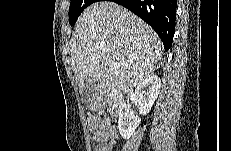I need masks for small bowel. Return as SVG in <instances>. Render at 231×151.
I'll return each instance as SVG.
<instances>
[{"mask_svg": "<svg viewBox=\"0 0 231 151\" xmlns=\"http://www.w3.org/2000/svg\"><path fill=\"white\" fill-rule=\"evenodd\" d=\"M89 129L96 141L95 151H111L116 143V130L108 117L89 118Z\"/></svg>", "mask_w": 231, "mask_h": 151, "instance_id": "obj_1", "label": "small bowel"}]
</instances>
